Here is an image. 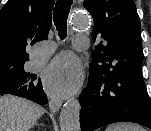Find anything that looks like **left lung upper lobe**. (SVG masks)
<instances>
[{
	"mask_svg": "<svg viewBox=\"0 0 151 131\" xmlns=\"http://www.w3.org/2000/svg\"><path fill=\"white\" fill-rule=\"evenodd\" d=\"M94 19L89 77L109 79L141 67L143 50L140 19L133 0H85Z\"/></svg>",
	"mask_w": 151,
	"mask_h": 131,
	"instance_id": "obj_1",
	"label": "left lung upper lobe"
}]
</instances>
